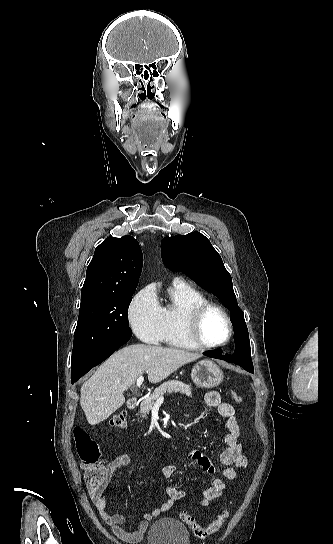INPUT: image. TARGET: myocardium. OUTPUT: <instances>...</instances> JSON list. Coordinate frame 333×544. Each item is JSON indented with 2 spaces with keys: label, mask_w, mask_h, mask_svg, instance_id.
Returning <instances> with one entry per match:
<instances>
[{
  "label": "myocardium",
  "mask_w": 333,
  "mask_h": 544,
  "mask_svg": "<svg viewBox=\"0 0 333 544\" xmlns=\"http://www.w3.org/2000/svg\"><path fill=\"white\" fill-rule=\"evenodd\" d=\"M210 309L218 310L225 318L228 326L227 338L219 343H207L201 335V325L205 314ZM186 329L190 340L198 347L203 349H214L227 345L233 337L234 327L231 317L227 310L219 303L214 301H203L194 306L188 313L186 318Z\"/></svg>",
  "instance_id": "f54148a6"
}]
</instances>
